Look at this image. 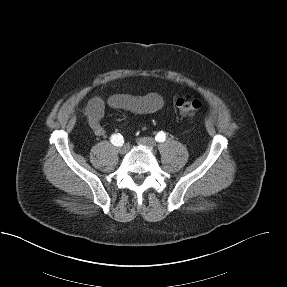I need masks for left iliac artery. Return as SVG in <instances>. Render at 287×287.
<instances>
[{
    "label": "left iliac artery",
    "instance_id": "1",
    "mask_svg": "<svg viewBox=\"0 0 287 287\" xmlns=\"http://www.w3.org/2000/svg\"><path fill=\"white\" fill-rule=\"evenodd\" d=\"M156 141L158 142H164L166 140V134L163 131H160L155 136Z\"/></svg>",
    "mask_w": 287,
    "mask_h": 287
}]
</instances>
